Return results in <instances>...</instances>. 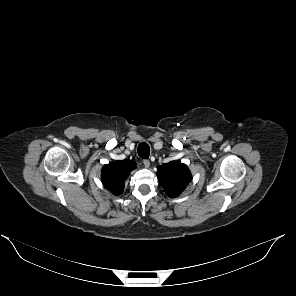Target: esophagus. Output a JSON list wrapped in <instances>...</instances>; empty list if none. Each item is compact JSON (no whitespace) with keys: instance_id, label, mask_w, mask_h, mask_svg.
<instances>
[{"instance_id":"obj_1","label":"esophagus","mask_w":296,"mask_h":296,"mask_svg":"<svg viewBox=\"0 0 296 296\" xmlns=\"http://www.w3.org/2000/svg\"><path fill=\"white\" fill-rule=\"evenodd\" d=\"M143 164L146 168H148L150 166V162L147 159L143 160Z\"/></svg>"}]
</instances>
